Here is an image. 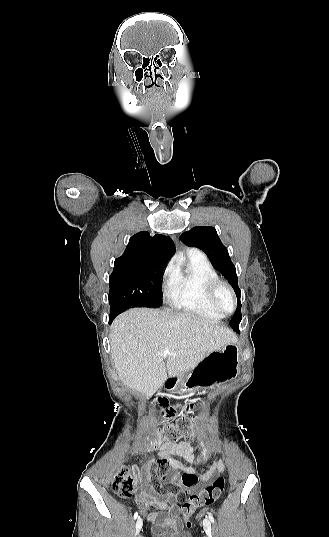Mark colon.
I'll return each mask as SVG.
<instances>
[{"label":"colon","instance_id":"colon-1","mask_svg":"<svg viewBox=\"0 0 329 537\" xmlns=\"http://www.w3.org/2000/svg\"><path fill=\"white\" fill-rule=\"evenodd\" d=\"M164 404H169L167 398L162 399V412ZM173 408V406H172ZM182 408V405H181ZM192 408V405H191ZM175 416H173L174 418ZM195 435V424L192 420H180L176 425L166 424L160 427L144 445L147 451L155 450L161 443H174L180 438L191 440ZM135 472L128 467L122 468L111 480L110 487L123 498L130 497L134 492L139 491ZM225 487V479L217 478L211 485L192 495L185 505L181 507L182 515L186 522L184 526L190 528L192 523L188 521L195 511L203 506L212 504L222 494Z\"/></svg>","mask_w":329,"mask_h":537}]
</instances>
